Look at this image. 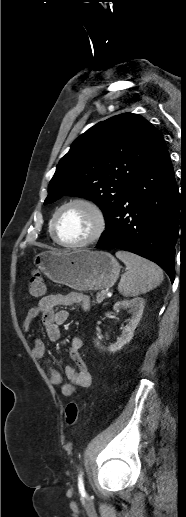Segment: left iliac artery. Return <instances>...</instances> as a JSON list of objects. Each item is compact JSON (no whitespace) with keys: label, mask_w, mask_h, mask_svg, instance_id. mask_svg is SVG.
<instances>
[{"label":"left iliac artery","mask_w":186,"mask_h":517,"mask_svg":"<svg viewBox=\"0 0 186 517\" xmlns=\"http://www.w3.org/2000/svg\"><path fill=\"white\" fill-rule=\"evenodd\" d=\"M78 488H79L80 493L82 495H84L85 494V488H84L82 472H80V474L78 476Z\"/></svg>","instance_id":"44dca946"}]
</instances>
